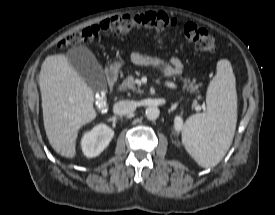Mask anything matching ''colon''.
Returning a JSON list of instances; mask_svg holds the SVG:
<instances>
[{
    "label": "colon",
    "mask_w": 275,
    "mask_h": 215,
    "mask_svg": "<svg viewBox=\"0 0 275 215\" xmlns=\"http://www.w3.org/2000/svg\"><path fill=\"white\" fill-rule=\"evenodd\" d=\"M141 28L157 32L178 31L188 42L205 52H214L217 48L215 38L205 28L192 22H180L163 12L113 16L97 25L67 35L58 43V47L65 49L80 43H91L102 36L124 34Z\"/></svg>",
    "instance_id": "1"
}]
</instances>
